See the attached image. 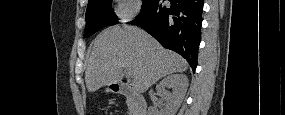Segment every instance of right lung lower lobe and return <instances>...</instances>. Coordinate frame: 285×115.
Segmentation results:
<instances>
[{"label": "right lung lower lobe", "instance_id": "1", "mask_svg": "<svg viewBox=\"0 0 285 115\" xmlns=\"http://www.w3.org/2000/svg\"><path fill=\"white\" fill-rule=\"evenodd\" d=\"M154 0L129 22L147 31L158 42L182 55L193 71L201 41L203 0Z\"/></svg>", "mask_w": 285, "mask_h": 115}]
</instances>
